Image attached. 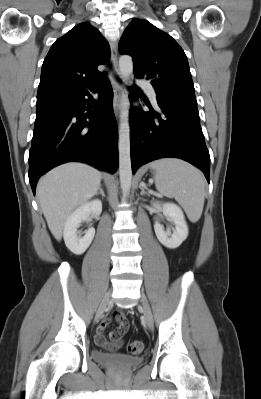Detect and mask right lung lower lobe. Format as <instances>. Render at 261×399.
<instances>
[{
  "mask_svg": "<svg viewBox=\"0 0 261 399\" xmlns=\"http://www.w3.org/2000/svg\"><path fill=\"white\" fill-rule=\"evenodd\" d=\"M97 84L98 101L90 95V91L96 92L93 85L37 103L29 152V181L34 194L40 176L64 162L80 161L115 173L118 161L113 90L107 78Z\"/></svg>",
  "mask_w": 261,
  "mask_h": 399,
  "instance_id": "right-lung-lower-lobe-1",
  "label": "right lung lower lobe"
}]
</instances>
